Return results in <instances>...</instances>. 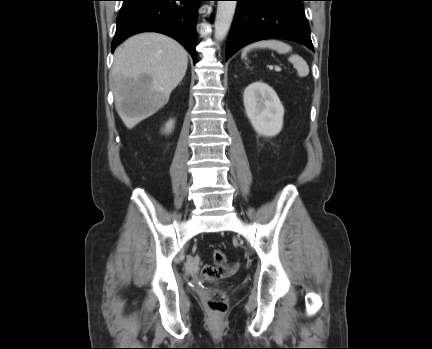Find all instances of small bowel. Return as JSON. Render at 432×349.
Segmentation results:
<instances>
[{"instance_id":"1","label":"small bowel","mask_w":432,"mask_h":349,"mask_svg":"<svg viewBox=\"0 0 432 349\" xmlns=\"http://www.w3.org/2000/svg\"><path fill=\"white\" fill-rule=\"evenodd\" d=\"M237 268V264L227 265L222 268L206 265L202 268V275L205 279L217 280L232 276L237 271Z\"/></svg>"}]
</instances>
